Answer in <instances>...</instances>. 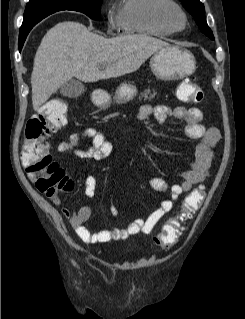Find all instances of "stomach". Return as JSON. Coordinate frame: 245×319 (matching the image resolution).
Masks as SVG:
<instances>
[{
	"label": "stomach",
	"mask_w": 245,
	"mask_h": 319,
	"mask_svg": "<svg viewBox=\"0 0 245 319\" xmlns=\"http://www.w3.org/2000/svg\"><path fill=\"white\" fill-rule=\"evenodd\" d=\"M195 58L191 52L178 46L167 45L156 51L150 59V67L154 75L161 80H172L189 75L195 70ZM136 87L130 83H123L116 91L114 101L118 104L126 103L136 95ZM111 100L99 105L107 109Z\"/></svg>",
	"instance_id": "obj_1"
}]
</instances>
